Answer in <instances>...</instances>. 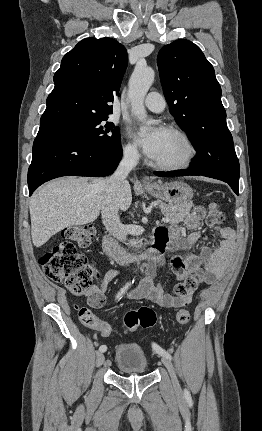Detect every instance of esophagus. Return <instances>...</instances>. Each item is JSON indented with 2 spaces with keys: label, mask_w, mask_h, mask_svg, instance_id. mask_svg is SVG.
<instances>
[{
  "label": "esophagus",
  "mask_w": 262,
  "mask_h": 431,
  "mask_svg": "<svg viewBox=\"0 0 262 431\" xmlns=\"http://www.w3.org/2000/svg\"><path fill=\"white\" fill-rule=\"evenodd\" d=\"M142 184L143 185H148L149 184V180L147 178H143L142 179Z\"/></svg>",
  "instance_id": "1"
}]
</instances>
